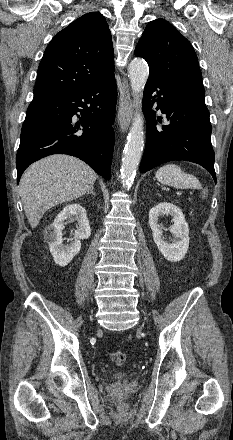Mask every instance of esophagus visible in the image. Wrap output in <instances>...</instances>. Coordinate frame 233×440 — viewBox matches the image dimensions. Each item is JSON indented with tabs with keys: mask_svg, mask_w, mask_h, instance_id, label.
<instances>
[{
	"mask_svg": "<svg viewBox=\"0 0 233 440\" xmlns=\"http://www.w3.org/2000/svg\"><path fill=\"white\" fill-rule=\"evenodd\" d=\"M134 102L126 78L122 79V95L119 102L118 123L123 132L130 126Z\"/></svg>",
	"mask_w": 233,
	"mask_h": 440,
	"instance_id": "obj_1",
	"label": "esophagus"
}]
</instances>
